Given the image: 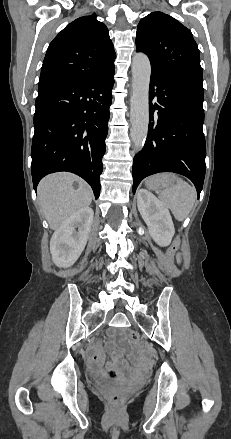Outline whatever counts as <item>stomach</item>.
I'll list each match as a JSON object with an SVG mask.
<instances>
[{"instance_id": "stomach-1", "label": "stomach", "mask_w": 231, "mask_h": 439, "mask_svg": "<svg viewBox=\"0 0 231 439\" xmlns=\"http://www.w3.org/2000/svg\"><path fill=\"white\" fill-rule=\"evenodd\" d=\"M176 177L172 174H158L147 179L146 184L153 190L166 189L174 185Z\"/></svg>"}]
</instances>
